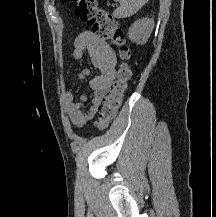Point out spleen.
<instances>
[{
  "mask_svg": "<svg viewBox=\"0 0 216 217\" xmlns=\"http://www.w3.org/2000/svg\"><path fill=\"white\" fill-rule=\"evenodd\" d=\"M120 2V7L113 12L115 18H127L134 15L149 0H115Z\"/></svg>",
  "mask_w": 216,
  "mask_h": 217,
  "instance_id": "spleen-1",
  "label": "spleen"
}]
</instances>
